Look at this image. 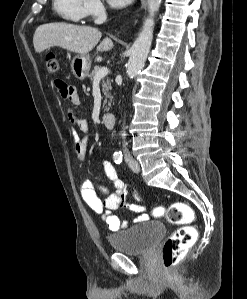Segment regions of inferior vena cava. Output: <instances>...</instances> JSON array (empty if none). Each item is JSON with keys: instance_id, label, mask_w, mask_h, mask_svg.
Returning a JSON list of instances; mask_svg holds the SVG:
<instances>
[{"instance_id": "1", "label": "inferior vena cava", "mask_w": 247, "mask_h": 299, "mask_svg": "<svg viewBox=\"0 0 247 299\" xmlns=\"http://www.w3.org/2000/svg\"><path fill=\"white\" fill-rule=\"evenodd\" d=\"M125 137H126L125 128H123V131H122V138L125 139ZM126 145H127V143L124 141L123 146H124L125 148H126ZM125 150H126V149H125Z\"/></svg>"}]
</instances>
